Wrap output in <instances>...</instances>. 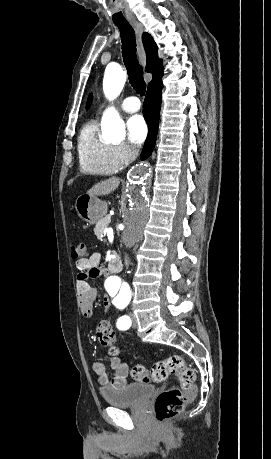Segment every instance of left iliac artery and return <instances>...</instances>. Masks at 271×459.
<instances>
[{"label": "left iliac artery", "mask_w": 271, "mask_h": 459, "mask_svg": "<svg viewBox=\"0 0 271 459\" xmlns=\"http://www.w3.org/2000/svg\"><path fill=\"white\" fill-rule=\"evenodd\" d=\"M127 306V303H120L119 307L124 308ZM131 319L129 316H122L117 321V328L119 330H127L131 326Z\"/></svg>", "instance_id": "left-iliac-artery-1"}]
</instances>
